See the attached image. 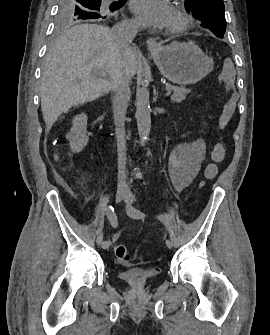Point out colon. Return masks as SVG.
Returning <instances> with one entry per match:
<instances>
[{
	"mask_svg": "<svg viewBox=\"0 0 270 335\" xmlns=\"http://www.w3.org/2000/svg\"><path fill=\"white\" fill-rule=\"evenodd\" d=\"M221 63L223 64V67L221 68L222 88L223 89H234L235 83L232 81H233V76H234L235 58L234 57H222ZM221 108L222 109H233L234 103L233 102H222ZM218 118H219V122H218L219 127L221 128L227 127L228 121L231 118L230 110H225V112H219ZM215 146L216 148L213 149L214 155H225L226 154V149L223 148L224 146L223 141H216ZM214 162L215 163H226L227 157L226 156H215ZM215 172H216V166L215 164H211L206 169V173H205L206 179L213 176ZM115 255H116V258L123 263H128L131 260V255L128 251V248L124 244L116 245Z\"/></svg>",
	"mask_w": 270,
	"mask_h": 335,
	"instance_id": "5ec220e1",
	"label": "colon"
}]
</instances>
